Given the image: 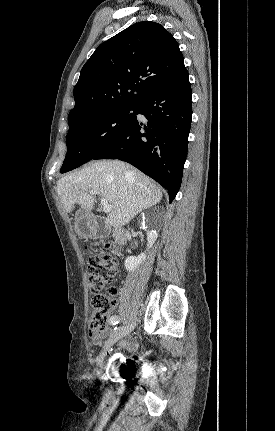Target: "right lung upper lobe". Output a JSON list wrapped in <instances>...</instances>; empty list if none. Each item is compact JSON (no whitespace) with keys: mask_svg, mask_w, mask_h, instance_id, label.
<instances>
[{"mask_svg":"<svg viewBox=\"0 0 275 431\" xmlns=\"http://www.w3.org/2000/svg\"><path fill=\"white\" fill-rule=\"evenodd\" d=\"M186 70L174 37L155 22H139L102 43L74 87L68 123L113 106H136Z\"/></svg>","mask_w":275,"mask_h":431,"instance_id":"right-lung-upper-lobe-1","label":"right lung upper lobe"}]
</instances>
